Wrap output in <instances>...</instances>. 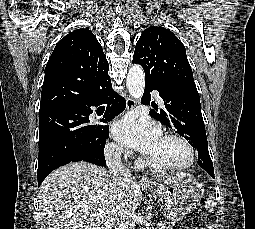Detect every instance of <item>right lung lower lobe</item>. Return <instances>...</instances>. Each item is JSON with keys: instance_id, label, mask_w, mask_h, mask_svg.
<instances>
[{"instance_id": "1", "label": "right lung lower lobe", "mask_w": 255, "mask_h": 229, "mask_svg": "<svg viewBox=\"0 0 255 229\" xmlns=\"http://www.w3.org/2000/svg\"><path fill=\"white\" fill-rule=\"evenodd\" d=\"M102 103L108 104V107L104 114L105 119L101 120L102 122H105V123H106V121H111L115 116L120 114L126 107L125 99L122 97H119L118 94L112 89V85L109 84V85L105 86L104 88L100 89L99 91H97L96 93H94V95L89 99V101H87L85 103H82L80 105H76L73 107L57 108V109H53L50 111H46V112L40 114L39 117L52 116V115H55L61 111L66 110V109H72V110L81 112V113L85 114L87 117H89V115L92 113V110L90 107L98 106ZM98 127L100 128L102 136L106 142V139L109 136V127L104 126V125H98ZM75 161H87V162H90V163H93V164H96L99 166L106 165L104 154L100 158H97V159H81V160H75ZM54 169H56V168H54ZM54 169L49 170V171H44V172H38V185L39 186L41 185L43 180L47 177V175Z\"/></svg>"}]
</instances>
